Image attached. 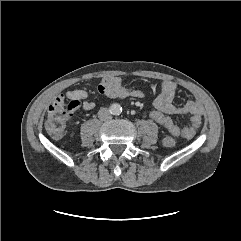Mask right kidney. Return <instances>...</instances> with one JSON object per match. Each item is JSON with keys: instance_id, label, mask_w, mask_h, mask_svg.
Wrapping results in <instances>:
<instances>
[{"instance_id": "ca27d5eb", "label": "right kidney", "mask_w": 241, "mask_h": 241, "mask_svg": "<svg viewBox=\"0 0 241 241\" xmlns=\"http://www.w3.org/2000/svg\"><path fill=\"white\" fill-rule=\"evenodd\" d=\"M71 137H73L74 136V132L73 133H71V135H70Z\"/></svg>"}]
</instances>
